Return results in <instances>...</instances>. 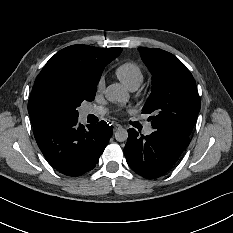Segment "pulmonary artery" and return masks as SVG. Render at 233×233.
Returning <instances> with one entry per match:
<instances>
[{
  "label": "pulmonary artery",
  "mask_w": 233,
  "mask_h": 233,
  "mask_svg": "<svg viewBox=\"0 0 233 233\" xmlns=\"http://www.w3.org/2000/svg\"><path fill=\"white\" fill-rule=\"evenodd\" d=\"M131 91H135L136 88L130 89ZM106 113V110L103 108H95V109H90L88 110V114H94L97 116L104 115ZM153 133V129L150 127H147L144 129V134L145 135H151Z\"/></svg>",
  "instance_id": "obj_1"
}]
</instances>
